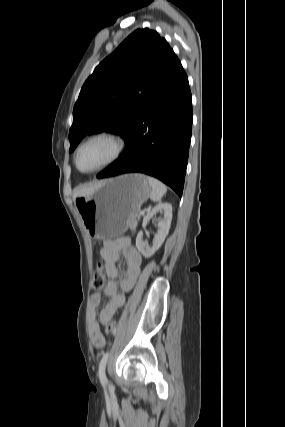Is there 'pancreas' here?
I'll use <instances>...</instances> for the list:
<instances>
[{
	"mask_svg": "<svg viewBox=\"0 0 285 427\" xmlns=\"http://www.w3.org/2000/svg\"><path fill=\"white\" fill-rule=\"evenodd\" d=\"M137 219H139V217H136V218L133 220L132 224L130 225L131 229H133V230L136 228V225H137Z\"/></svg>",
	"mask_w": 285,
	"mask_h": 427,
	"instance_id": "cf45deb5",
	"label": "pancreas"
}]
</instances>
